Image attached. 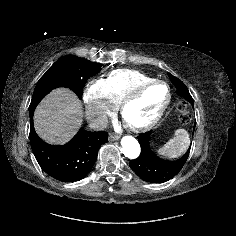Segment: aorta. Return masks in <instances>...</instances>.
I'll use <instances>...</instances> for the list:
<instances>
[{"mask_svg":"<svg viewBox=\"0 0 236 236\" xmlns=\"http://www.w3.org/2000/svg\"><path fill=\"white\" fill-rule=\"evenodd\" d=\"M121 146L123 154L129 159H136L140 155V145L132 136H124L121 139Z\"/></svg>","mask_w":236,"mask_h":236,"instance_id":"aorta-1","label":"aorta"}]
</instances>
